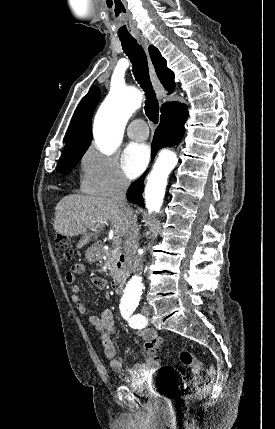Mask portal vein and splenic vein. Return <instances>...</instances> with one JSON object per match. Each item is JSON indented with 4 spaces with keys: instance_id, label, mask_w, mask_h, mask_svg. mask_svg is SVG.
<instances>
[{
    "instance_id": "18ae733b",
    "label": "portal vein and splenic vein",
    "mask_w": 275,
    "mask_h": 429,
    "mask_svg": "<svg viewBox=\"0 0 275 429\" xmlns=\"http://www.w3.org/2000/svg\"><path fill=\"white\" fill-rule=\"evenodd\" d=\"M113 243H114L115 245H119V244L121 243V239H120L119 237H114V238H113Z\"/></svg>"
}]
</instances>
